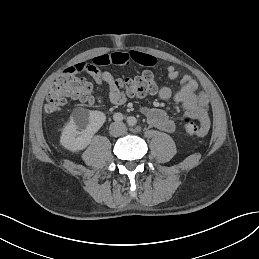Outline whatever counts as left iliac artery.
<instances>
[{
	"label": "left iliac artery",
	"mask_w": 259,
	"mask_h": 259,
	"mask_svg": "<svg viewBox=\"0 0 259 259\" xmlns=\"http://www.w3.org/2000/svg\"><path fill=\"white\" fill-rule=\"evenodd\" d=\"M127 123H128V125H130V126H135L136 123H137V120H136L135 117L130 116V117L127 118Z\"/></svg>",
	"instance_id": "1"
}]
</instances>
